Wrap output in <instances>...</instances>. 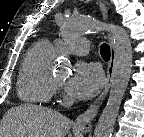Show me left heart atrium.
Instances as JSON below:
<instances>
[{"mask_svg": "<svg viewBox=\"0 0 144 137\" xmlns=\"http://www.w3.org/2000/svg\"><path fill=\"white\" fill-rule=\"evenodd\" d=\"M103 84L100 67L91 62L78 63L66 82V89L79 99L93 97Z\"/></svg>", "mask_w": 144, "mask_h": 137, "instance_id": "left-heart-atrium-1", "label": "left heart atrium"}]
</instances>
